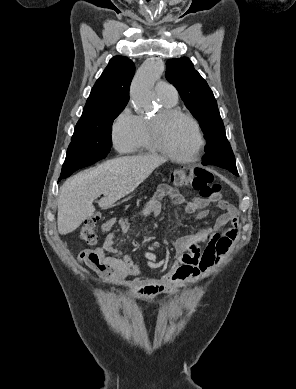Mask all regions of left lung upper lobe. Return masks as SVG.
Instances as JSON below:
<instances>
[{"label": "left lung upper lobe", "instance_id": "obj_1", "mask_svg": "<svg viewBox=\"0 0 296 389\" xmlns=\"http://www.w3.org/2000/svg\"><path fill=\"white\" fill-rule=\"evenodd\" d=\"M165 76L176 87L192 115L199 120L207 140L204 151L208 152L226 135L212 90L187 57L168 60Z\"/></svg>", "mask_w": 296, "mask_h": 389}]
</instances>
